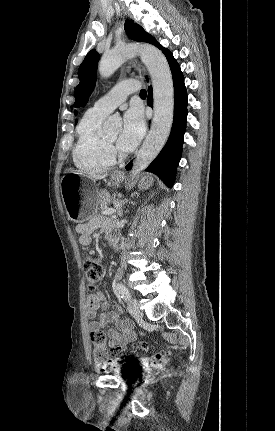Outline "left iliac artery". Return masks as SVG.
<instances>
[{
  "label": "left iliac artery",
  "instance_id": "44dca946",
  "mask_svg": "<svg viewBox=\"0 0 275 431\" xmlns=\"http://www.w3.org/2000/svg\"><path fill=\"white\" fill-rule=\"evenodd\" d=\"M116 288L118 290V293L120 294L121 298H123L125 301L130 299V293L128 291V289L122 284V283H118L116 285Z\"/></svg>",
  "mask_w": 275,
  "mask_h": 431
}]
</instances>
